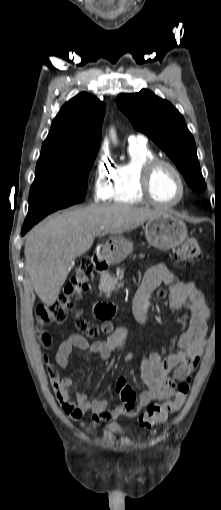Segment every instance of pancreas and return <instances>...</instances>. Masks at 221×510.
Returning <instances> with one entry per match:
<instances>
[{
    "label": "pancreas",
    "mask_w": 221,
    "mask_h": 510,
    "mask_svg": "<svg viewBox=\"0 0 221 510\" xmlns=\"http://www.w3.org/2000/svg\"><path fill=\"white\" fill-rule=\"evenodd\" d=\"M139 257L142 259L145 257L144 254H140ZM133 258H135V255L133 256ZM119 272H121V270L118 268L117 269ZM119 280V277H115L114 275H110V274H105V275H102L101 276V279H100V291L107 294V295H110V293L115 289L116 287V283L118 282Z\"/></svg>",
    "instance_id": "cf45deb5"
}]
</instances>
